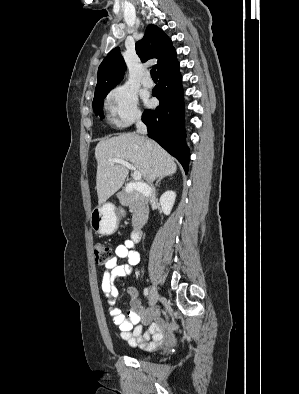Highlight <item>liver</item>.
<instances>
[{"mask_svg": "<svg viewBox=\"0 0 299 394\" xmlns=\"http://www.w3.org/2000/svg\"><path fill=\"white\" fill-rule=\"evenodd\" d=\"M95 158L99 205L105 203L122 187L129 173L128 168L121 164H111L109 159L120 158L131 162L148 183L157 177L171 175L177 170L174 158L158 143L133 133L100 141L95 148Z\"/></svg>", "mask_w": 299, "mask_h": 394, "instance_id": "liver-1", "label": "liver"}]
</instances>
